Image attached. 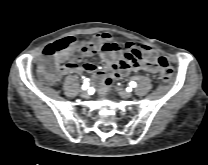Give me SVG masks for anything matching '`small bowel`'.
<instances>
[{
    "mask_svg": "<svg viewBox=\"0 0 208 165\" xmlns=\"http://www.w3.org/2000/svg\"><path fill=\"white\" fill-rule=\"evenodd\" d=\"M93 50L84 56L99 54L105 62L104 70L95 64L86 62L76 64L73 61H62L57 69L60 73H91L96 83L106 87L110 86L114 79H119L133 71H145L150 74L157 73V65L153 61H143L142 56L155 58L156 52L147 45H136L132 42L122 44L115 41L112 35L102 31L96 33L90 43ZM128 55L131 57L128 58Z\"/></svg>",
    "mask_w": 208,
    "mask_h": 165,
    "instance_id": "obj_1",
    "label": "small bowel"
}]
</instances>
